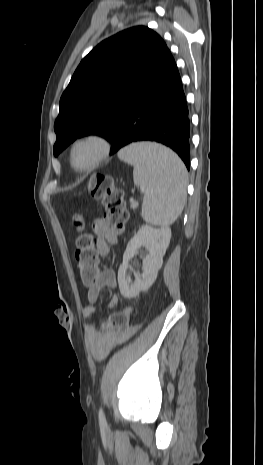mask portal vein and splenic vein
<instances>
[{
  "label": "portal vein and splenic vein",
  "instance_id": "18ae733b",
  "mask_svg": "<svg viewBox=\"0 0 263 465\" xmlns=\"http://www.w3.org/2000/svg\"><path fill=\"white\" fill-rule=\"evenodd\" d=\"M131 206H132L133 208H136V207H138V203H137L136 201H132V202H131Z\"/></svg>",
  "mask_w": 263,
  "mask_h": 465
}]
</instances>
